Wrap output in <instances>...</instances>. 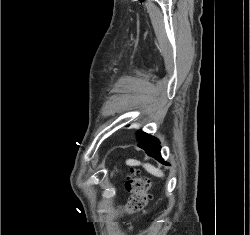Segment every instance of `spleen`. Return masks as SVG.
<instances>
[{
    "mask_svg": "<svg viewBox=\"0 0 250 235\" xmlns=\"http://www.w3.org/2000/svg\"><path fill=\"white\" fill-rule=\"evenodd\" d=\"M126 164L129 165V166L141 165V163L139 161H137V160H127ZM142 165L145 168V170L147 172H149L150 174H152L154 176H157V177H163L164 176L163 172L160 169L154 167L153 165L148 164V163L142 164Z\"/></svg>",
    "mask_w": 250,
    "mask_h": 235,
    "instance_id": "3e777b00",
    "label": "spleen"
}]
</instances>
